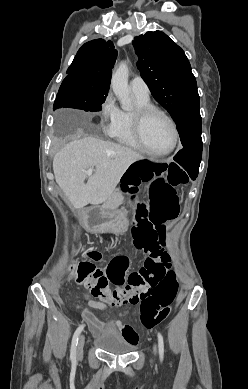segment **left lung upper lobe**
<instances>
[{"label": "left lung upper lobe", "instance_id": "5c2ea615", "mask_svg": "<svg viewBox=\"0 0 248 389\" xmlns=\"http://www.w3.org/2000/svg\"><path fill=\"white\" fill-rule=\"evenodd\" d=\"M133 45L141 77L176 123L188 109L199 106L196 79L177 44L161 31H149L136 37ZM180 139L183 146L191 141Z\"/></svg>", "mask_w": 248, "mask_h": 389}]
</instances>
